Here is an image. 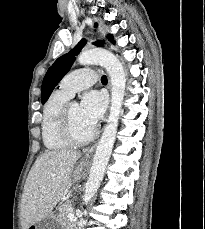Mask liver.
Listing matches in <instances>:
<instances>
[{
    "label": "liver",
    "instance_id": "liver-1",
    "mask_svg": "<svg viewBox=\"0 0 205 229\" xmlns=\"http://www.w3.org/2000/svg\"><path fill=\"white\" fill-rule=\"evenodd\" d=\"M81 152L54 150L41 154L32 166L21 200V225L28 229L48 216L64 197Z\"/></svg>",
    "mask_w": 205,
    "mask_h": 229
}]
</instances>
